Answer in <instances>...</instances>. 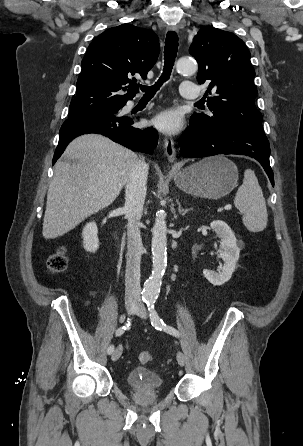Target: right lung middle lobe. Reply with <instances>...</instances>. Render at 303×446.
<instances>
[{
    "instance_id": "right-lung-middle-lobe-1",
    "label": "right lung middle lobe",
    "mask_w": 303,
    "mask_h": 446,
    "mask_svg": "<svg viewBox=\"0 0 303 446\" xmlns=\"http://www.w3.org/2000/svg\"><path fill=\"white\" fill-rule=\"evenodd\" d=\"M125 104L123 105H115V106H106V107H101L98 108L95 111H108V112H118L119 109L121 107H123ZM82 113H86L85 112V108L81 105H70V111H69V117L74 116V115H78V114H82Z\"/></svg>"
}]
</instances>
